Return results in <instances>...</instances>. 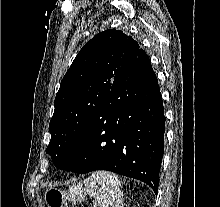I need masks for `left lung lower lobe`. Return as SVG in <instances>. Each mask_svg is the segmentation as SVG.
Instances as JSON below:
<instances>
[{"mask_svg": "<svg viewBox=\"0 0 220 207\" xmlns=\"http://www.w3.org/2000/svg\"><path fill=\"white\" fill-rule=\"evenodd\" d=\"M164 132L157 77L139 48L88 129L55 166L81 174L112 171L145 182L157 194Z\"/></svg>", "mask_w": 220, "mask_h": 207, "instance_id": "0a47b994", "label": "left lung lower lobe"}]
</instances>
